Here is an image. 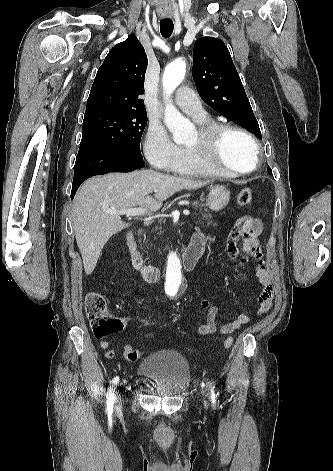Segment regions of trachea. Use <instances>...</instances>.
Segmentation results:
<instances>
[{
	"instance_id": "1",
	"label": "trachea",
	"mask_w": 333,
	"mask_h": 471,
	"mask_svg": "<svg viewBox=\"0 0 333 471\" xmlns=\"http://www.w3.org/2000/svg\"><path fill=\"white\" fill-rule=\"evenodd\" d=\"M174 25L171 19H162L160 21V32L164 38H169L173 32Z\"/></svg>"
}]
</instances>
